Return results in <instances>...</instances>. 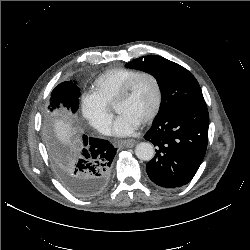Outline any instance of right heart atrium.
Listing matches in <instances>:
<instances>
[{
  "label": "right heart atrium",
  "instance_id": "right-heart-atrium-1",
  "mask_svg": "<svg viewBox=\"0 0 250 250\" xmlns=\"http://www.w3.org/2000/svg\"><path fill=\"white\" fill-rule=\"evenodd\" d=\"M81 115L83 119L101 134H107L111 127L112 114L110 110L87 94L81 104Z\"/></svg>",
  "mask_w": 250,
  "mask_h": 250
}]
</instances>
